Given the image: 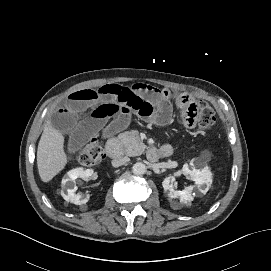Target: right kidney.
Wrapping results in <instances>:
<instances>
[{"label": "right kidney", "mask_w": 271, "mask_h": 271, "mask_svg": "<svg viewBox=\"0 0 271 271\" xmlns=\"http://www.w3.org/2000/svg\"><path fill=\"white\" fill-rule=\"evenodd\" d=\"M93 175L92 169H83L82 167L72 169L67 172V176L62 180L61 195L66 201H70L76 205L86 204L89 200V195L83 196L76 194L77 186L74 181L80 177L84 180L89 179Z\"/></svg>", "instance_id": "right-kidney-1"}]
</instances>
